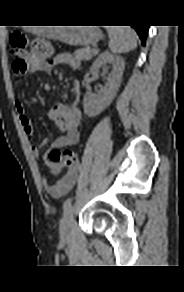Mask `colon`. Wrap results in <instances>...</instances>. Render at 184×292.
Returning a JSON list of instances; mask_svg holds the SVG:
<instances>
[{
  "mask_svg": "<svg viewBox=\"0 0 184 292\" xmlns=\"http://www.w3.org/2000/svg\"><path fill=\"white\" fill-rule=\"evenodd\" d=\"M26 43V37L22 33H12L10 38L11 54L13 57L12 68L13 72L18 76L26 74L34 63L43 62L48 59L53 52L50 42L38 39L33 42L31 52L28 55L25 49ZM47 155L51 162L64 166L77 164L78 160L77 154L71 150L52 148Z\"/></svg>",
  "mask_w": 184,
  "mask_h": 292,
  "instance_id": "obj_1",
  "label": "colon"
}]
</instances>
